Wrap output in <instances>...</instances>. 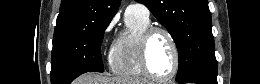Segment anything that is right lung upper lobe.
<instances>
[{
    "label": "right lung upper lobe",
    "mask_w": 260,
    "mask_h": 84,
    "mask_svg": "<svg viewBox=\"0 0 260 84\" xmlns=\"http://www.w3.org/2000/svg\"><path fill=\"white\" fill-rule=\"evenodd\" d=\"M120 0H62L54 37L102 20H112Z\"/></svg>",
    "instance_id": "1"
}]
</instances>
